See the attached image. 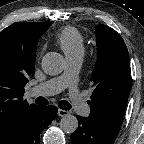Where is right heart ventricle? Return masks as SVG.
I'll return each instance as SVG.
<instances>
[{
	"instance_id": "e07e8e85",
	"label": "right heart ventricle",
	"mask_w": 144,
	"mask_h": 144,
	"mask_svg": "<svg viewBox=\"0 0 144 144\" xmlns=\"http://www.w3.org/2000/svg\"><path fill=\"white\" fill-rule=\"evenodd\" d=\"M56 42L61 47L66 57L82 55L84 51V39L79 30L72 26H66L56 34Z\"/></svg>"
}]
</instances>
